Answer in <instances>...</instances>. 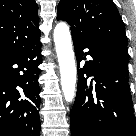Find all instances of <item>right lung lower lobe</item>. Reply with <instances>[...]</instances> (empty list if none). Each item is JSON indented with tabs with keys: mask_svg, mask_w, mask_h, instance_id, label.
Masks as SVG:
<instances>
[{
	"mask_svg": "<svg viewBox=\"0 0 136 136\" xmlns=\"http://www.w3.org/2000/svg\"><path fill=\"white\" fill-rule=\"evenodd\" d=\"M40 49L37 38L0 55V136H40Z\"/></svg>",
	"mask_w": 136,
	"mask_h": 136,
	"instance_id": "98d812e1",
	"label": "right lung lower lobe"
}]
</instances>
